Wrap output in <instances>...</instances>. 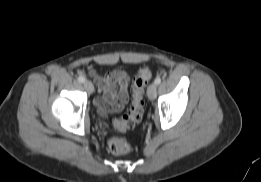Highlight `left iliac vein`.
I'll return each instance as SVG.
<instances>
[{
    "instance_id": "left-iliac-vein-1",
    "label": "left iliac vein",
    "mask_w": 261,
    "mask_h": 182,
    "mask_svg": "<svg viewBox=\"0 0 261 182\" xmlns=\"http://www.w3.org/2000/svg\"><path fill=\"white\" fill-rule=\"evenodd\" d=\"M156 93H157V85L155 83L150 84L147 89V95H148L149 99H151V100L155 99Z\"/></svg>"
}]
</instances>
